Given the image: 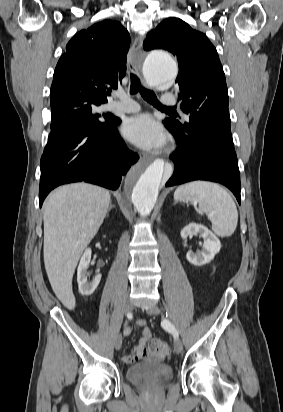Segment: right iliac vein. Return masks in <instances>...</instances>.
<instances>
[{
    "label": "right iliac vein",
    "instance_id": "right-iliac-vein-1",
    "mask_svg": "<svg viewBox=\"0 0 283 412\" xmlns=\"http://www.w3.org/2000/svg\"><path fill=\"white\" fill-rule=\"evenodd\" d=\"M133 309V303L131 301H128L125 305V311L126 312H130ZM122 335L119 334L117 335L116 339H115V349L119 350L122 346Z\"/></svg>",
    "mask_w": 283,
    "mask_h": 412
}]
</instances>
